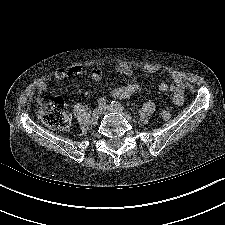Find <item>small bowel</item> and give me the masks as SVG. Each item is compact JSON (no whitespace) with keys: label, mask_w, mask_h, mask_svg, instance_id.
Returning <instances> with one entry per match:
<instances>
[{"label":"small bowel","mask_w":225,"mask_h":225,"mask_svg":"<svg viewBox=\"0 0 225 225\" xmlns=\"http://www.w3.org/2000/svg\"><path fill=\"white\" fill-rule=\"evenodd\" d=\"M117 71L126 76L132 75L133 71L128 65H120L117 68ZM81 73V68L78 66L70 67L69 69H58L54 73V78L57 81L64 80L68 75L78 76ZM90 76L94 80H100L102 77V72L100 69H94L91 71ZM174 84L170 87L166 83H161L159 88L161 91L166 92L170 89L173 93V101L176 105H181L184 101V85L182 80L179 77H174ZM47 83L42 81L37 86V102L39 105L44 103V93L47 91ZM140 90V87L137 84H127L118 86L113 89V96L119 99H126L137 93ZM60 99V98H59Z\"/></svg>","instance_id":"c3829d8e"}]
</instances>
